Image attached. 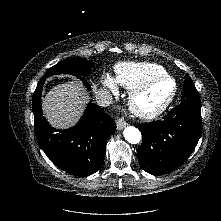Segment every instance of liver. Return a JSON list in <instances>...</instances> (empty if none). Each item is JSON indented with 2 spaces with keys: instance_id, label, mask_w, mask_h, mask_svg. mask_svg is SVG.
<instances>
[{
  "instance_id": "1",
  "label": "liver",
  "mask_w": 221,
  "mask_h": 221,
  "mask_svg": "<svg viewBox=\"0 0 221 221\" xmlns=\"http://www.w3.org/2000/svg\"><path fill=\"white\" fill-rule=\"evenodd\" d=\"M93 91L98 92L96 85H93ZM88 100L83 85L73 80L53 87L45 95L42 109L52 127L64 129L75 125Z\"/></svg>"
}]
</instances>
